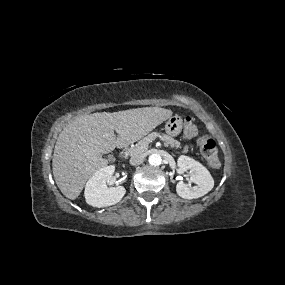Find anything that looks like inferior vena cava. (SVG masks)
I'll return each instance as SVG.
<instances>
[{
    "instance_id": "obj_1",
    "label": "inferior vena cava",
    "mask_w": 285,
    "mask_h": 285,
    "mask_svg": "<svg viewBox=\"0 0 285 285\" xmlns=\"http://www.w3.org/2000/svg\"><path fill=\"white\" fill-rule=\"evenodd\" d=\"M143 161H144L143 155H135L130 158V164L134 166L140 165L141 163H143Z\"/></svg>"
}]
</instances>
